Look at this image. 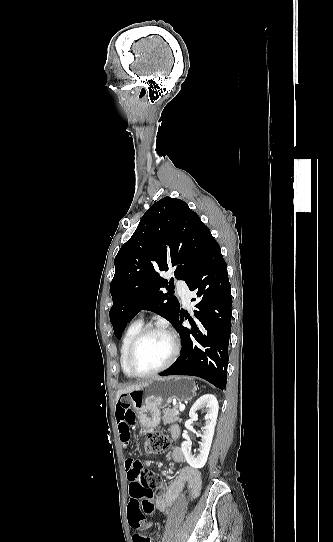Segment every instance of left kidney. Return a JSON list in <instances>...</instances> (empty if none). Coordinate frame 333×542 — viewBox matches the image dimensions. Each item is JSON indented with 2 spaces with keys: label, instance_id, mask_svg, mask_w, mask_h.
I'll return each mask as SVG.
<instances>
[{
  "label": "left kidney",
  "instance_id": "left-kidney-1",
  "mask_svg": "<svg viewBox=\"0 0 333 542\" xmlns=\"http://www.w3.org/2000/svg\"><path fill=\"white\" fill-rule=\"evenodd\" d=\"M199 408H207L203 436H200V454H198V456H193L190 442H182L181 444L185 460L191 468H203L207 462L217 422L219 404L213 394H204V396L198 398L195 404H193L189 412V418H191V420H196V412Z\"/></svg>",
  "mask_w": 333,
  "mask_h": 542
}]
</instances>
